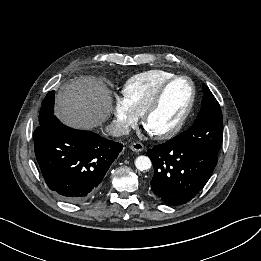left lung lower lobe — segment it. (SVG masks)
<instances>
[{"instance_id": "obj_1", "label": "left lung lower lobe", "mask_w": 261, "mask_h": 261, "mask_svg": "<svg viewBox=\"0 0 261 261\" xmlns=\"http://www.w3.org/2000/svg\"><path fill=\"white\" fill-rule=\"evenodd\" d=\"M154 167L150 188L168 206L191 200L207 183L218 161L217 154L187 143L178 135L148 150Z\"/></svg>"}]
</instances>
